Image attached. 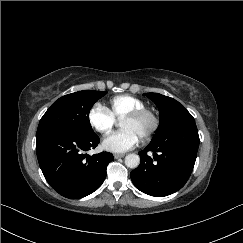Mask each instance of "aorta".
I'll return each instance as SVG.
<instances>
[{
  "label": "aorta",
  "instance_id": "aorta-1",
  "mask_svg": "<svg viewBox=\"0 0 243 243\" xmlns=\"http://www.w3.org/2000/svg\"><path fill=\"white\" fill-rule=\"evenodd\" d=\"M140 164V157L137 154L131 153L125 157V165L131 169H135Z\"/></svg>",
  "mask_w": 243,
  "mask_h": 243
}]
</instances>
